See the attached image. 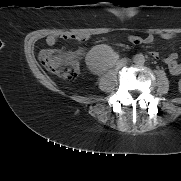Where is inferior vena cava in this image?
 Segmentation results:
<instances>
[{
	"instance_id": "obj_1",
	"label": "inferior vena cava",
	"mask_w": 181,
	"mask_h": 181,
	"mask_svg": "<svg viewBox=\"0 0 181 181\" xmlns=\"http://www.w3.org/2000/svg\"><path fill=\"white\" fill-rule=\"evenodd\" d=\"M123 62H124V64H126L128 62V60L125 58V59H123Z\"/></svg>"
}]
</instances>
